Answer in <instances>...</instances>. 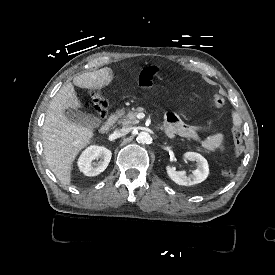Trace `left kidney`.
Returning a JSON list of instances; mask_svg holds the SVG:
<instances>
[{"label": "left kidney", "mask_w": 275, "mask_h": 275, "mask_svg": "<svg viewBox=\"0 0 275 275\" xmlns=\"http://www.w3.org/2000/svg\"><path fill=\"white\" fill-rule=\"evenodd\" d=\"M184 157L190 161L197 162V169L194 170L192 175L186 176L184 171H176L174 168L167 166L168 176L179 185L190 186L201 183L209 174V166L207 160L199 153L186 152Z\"/></svg>", "instance_id": "5707ae66"}]
</instances>
